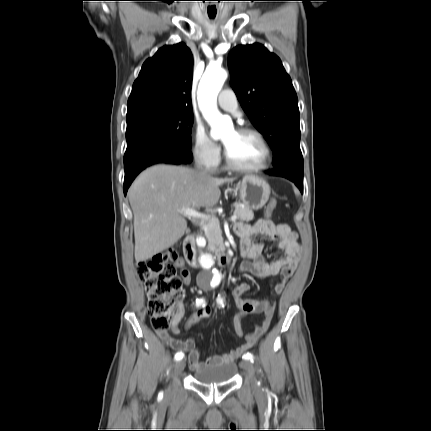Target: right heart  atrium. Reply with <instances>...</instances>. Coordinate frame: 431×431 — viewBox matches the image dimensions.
<instances>
[{
  "label": "right heart atrium",
  "mask_w": 431,
  "mask_h": 431,
  "mask_svg": "<svg viewBox=\"0 0 431 431\" xmlns=\"http://www.w3.org/2000/svg\"><path fill=\"white\" fill-rule=\"evenodd\" d=\"M192 154L206 169H215L221 159L220 147L212 141L201 125H196L192 133Z\"/></svg>",
  "instance_id": "obj_1"
}]
</instances>
